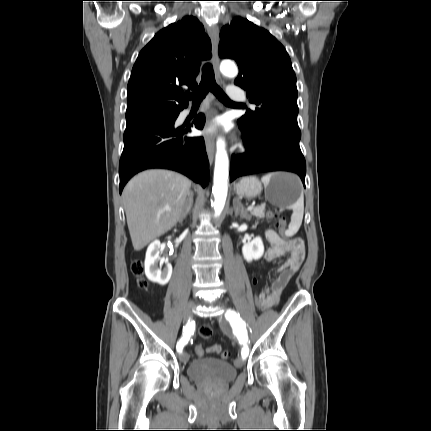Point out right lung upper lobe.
Returning <instances> with one entry per match:
<instances>
[{"mask_svg":"<svg viewBox=\"0 0 431 431\" xmlns=\"http://www.w3.org/2000/svg\"><path fill=\"white\" fill-rule=\"evenodd\" d=\"M210 51V39L194 17L159 31L133 66L127 86V123L187 107L184 90L196 88L201 61L211 57Z\"/></svg>","mask_w":431,"mask_h":431,"instance_id":"cb5924a9","label":"right lung upper lobe"}]
</instances>
